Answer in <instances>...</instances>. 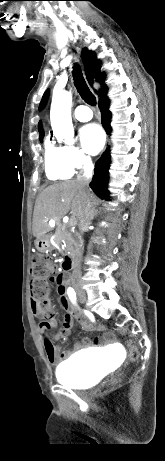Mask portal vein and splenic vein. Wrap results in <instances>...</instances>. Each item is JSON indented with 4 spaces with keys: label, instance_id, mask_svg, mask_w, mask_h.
Wrapping results in <instances>:
<instances>
[{
    "label": "portal vein and splenic vein",
    "instance_id": "portal-vein-and-splenic-vein-1",
    "mask_svg": "<svg viewBox=\"0 0 165 461\" xmlns=\"http://www.w3.org/2000/svg\"><path fill=\"white\" fill-rule=\"evenodd\" d=\"M75 224H76L75 218H71V219L69 220V225L72 226V225H75Z\"/></svg>",
    "mask_w": 165,
    "mask_h": 461
}]
</instances>
